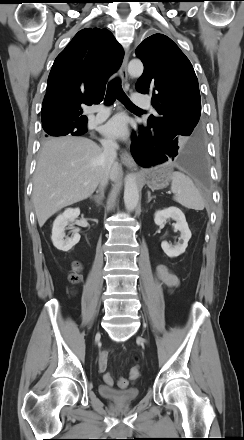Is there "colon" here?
I'll use <instances>...</instances> for the list:
<instances>
[{
    "label": "colon",
    "mask_w": 244,
    "mask_h": 440,
    "mask_svg": "<svg viewBox=\"0 0 244 440\" xmlns=\"http://www.w3.org/2000/svg\"><path fill=\"white\" fill-rule=\"evenodd\" d=\"M80 270H81V266L80 264L76 263L73 266V271L69 277L70 281L72 283H78L80 281L81 275H80ZM139 377V370L137 367L132 368L131 372H130V379L135 381L137 380ZM104 381L107 385L112 386L114 385L115 381L114 378L112 376L111 373L107 372L104 374ZM128 380L124 377H120L117 382L116 385L120 388V389H125L128 386Z\"/></svg>",
    "instance_id": "colon-1"
}]
</instances>
